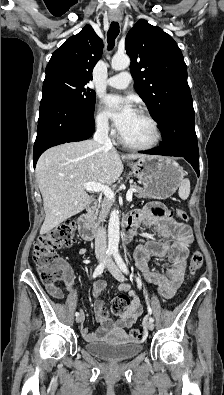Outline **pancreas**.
Returning <instances> with one entry per match:
<instances>
[{
    "mask_svg": "<svg viewBox=\"0 0 224 395\" xmlns=\"http://www.w3.org/2000/svg\"><path fill=\"white\" fill-rule=\"evenodd\" d=\"M130 188H133L136 190L135 196L137 198H147L149 197L148 193L141 187L137 185H131ZM113 205V202L109 199H104L101 204L98 206V208L95 210L93 214V220H95L97 223L105 221V218L107 217L111 207Z\"/></svg>",
    "mask_w": 224,
    "mask_h": 395,
    "instance_id": "obj_1",
    "label": "pancreas"
}]
</instances>
